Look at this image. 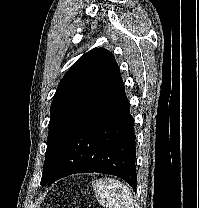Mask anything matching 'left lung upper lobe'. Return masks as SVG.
<instances>
[{
	"label": "left lung upper lobe",
	"instance_id": "obj_1",
	"mask_svg": "<svg viewBox=\"0 0 199 208\" xmlns=\"http://www.w3.org/2000/svg\"><path fill=\"white\" fill-rule=\"evenodd\" d=\"M122 83L113 54L103 48L85 53L66 72L50 108L42 185L50 179L73 133Z\"/></svg>",
	"mask_w": 199,
	"mask_h": 208
}]
</instances>
